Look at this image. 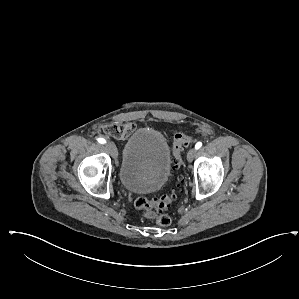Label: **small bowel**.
Here are the masks:
<instances>
[{
    "mask_svg": "<svg viewBox=\"0 0 299 299\" xmlns=\"http://www.w3.org/2000/svg\"><path fill=\"white\" fill-rule=\"evenodd\" d=\"M136 129L133 122H125L121 124H111L106 127V131L111 136L118 139H125L130 136Z\"/></svg>",
    "mask_w": 299,
    "mask_h": 299,
    "instance_id": "obj_1",
    "label": "small bowel"
}]
</instances>
